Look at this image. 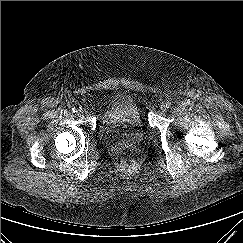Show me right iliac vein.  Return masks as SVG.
Listing matches in <instances>:
<instances>
[{
  "label": "right iliac vein",
  "mask_w": 243,
  "mask_h": 243,
  "mask_svg": "<svg viewBox=\"0 0 243 243\" xmlns=\"http://www.w3.org/2000/svg\"><path fill=\"white\" fill-rule=\"evenodd\" d=\"M76 114H77V116L81 117V116H83L84 112H83V110L79 109V110H77Z\"/></svg>",
  "instance_id": "63e3f726"
}]
</instances>
